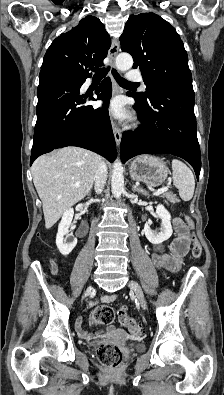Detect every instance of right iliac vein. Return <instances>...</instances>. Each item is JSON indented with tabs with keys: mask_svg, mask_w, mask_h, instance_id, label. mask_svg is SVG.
Masks as SVG:
<instances>
[{
	"mask_svg": "<svg viewBox=\"0 0 224 395\" xmlns=\"http://www.w3.org/2000/svg\"><path fill=\"white\" fill-rule=\"evenodd\" d=\"M91 290H92V287H91V286H89V287L87 288V293H90V292H91Z\"/></svg>",
	"mask_w": 224,
	"mask_h": 395,
	"instance_id": "1",
	"label": "right iliac vein"
}]
</instances>
